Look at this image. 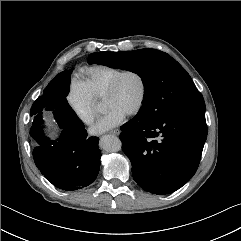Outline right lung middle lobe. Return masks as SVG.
<instances>
[{
    "label": "right lung middle lobe",
    "mask_w": 241,
    "mask_h": 241,
    "mask_svg": "<svg viewBox=\"0 0 241 241\" xmlns=\"http://www.w3.org/2000/svg\"><path fill=\"white\" fill-rule=\"evenodd\" d=\"M69 85L70 71L65 70L56 75L44 89L43 95L39 96L33 103L30 115L34 120L30 129V135L36 141L44 136L41 125L43 123L42 114L45 111L53 113L60 129L66 126L75 128L84 127L82 121L67 102L66 96L69 92Z\"/></svg>",
    "instance_id": "dd1d6c3e"
}]
</instances>
